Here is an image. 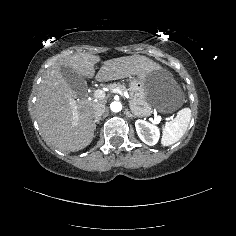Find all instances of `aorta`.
Masks as SVG:
<instances>
[{"instance_id":"762f6f07","label":"aorta","mask_w":236,"mask_h":236,"mask_svg":"<svg viewBox=\"0 0 236 236\" xmlns=\"http://www.w3.org/2000/svg\"><path fill=\"white\" fill-rule=\"evenodd\" d=\"M110 109L113 112H119L122 110V104L120 102L114 101L110 104Z\"/></svg>"}]
</instances>
